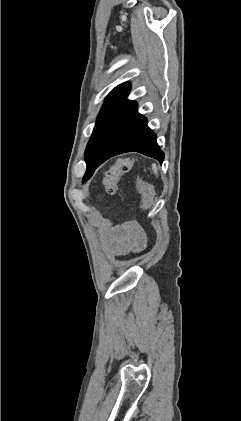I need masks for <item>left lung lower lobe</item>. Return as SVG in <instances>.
<instances>
[{"mask_svg":"<svg viewBox=\"0 0 241 421\" xmlns=\"http://www.w3.org/2000/svg\"><path fill=\"white\" fill-rule=\"evenodd\" d=\"M133 151L155 158L160 163L164 160V153L156 142V134L147 126V119L138 113L137 104L129 101L99 158L87 167L83 182L90 179L95 169L109 158Z\"/></svg>","mask_w":241,"mask_h":421,"instance_id":"obj_1","label":"left lung lower lobe"}]
</instances>
